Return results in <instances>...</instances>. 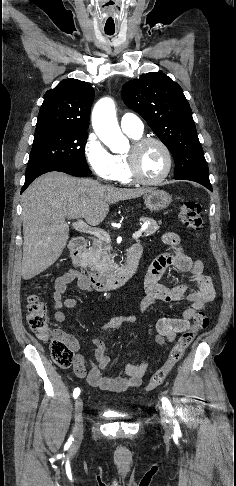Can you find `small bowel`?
<instances>
[{
  "label": "small bowel",
  "instance_id": "small-bowel-1",
  "mask_svg": "<svg viewBox=\"0 0 236 486\" xmlns=\"http://www.w3.org/2000/svg\"><path fill=\"white\" fill-rule=\"evenodd\" d=\"M161 241L174 250L157 257L146 275L145 290L146 295L139 304V311L144 314L153 305H165L171 302L187 300L190 306L186 308L180 317H165L156 324L157 334L154 338V347L164 342H172L176 336L190 328L191 320L196 314L202 311L206 304L211 302L216 295L212 280L204 273V265L200 260H194L187 255L181 245L180 236L175 232H166L162 235ZM176 268L188 274L194 282V288L185 280L171 287H166L159 283L162 275L169 268ZM77 281L82 290H89V285L85 279L74 269H70L55 280L54 299V318L57 322L63 323L67 320L64 309L74 308L77 300L74 298H64L68 286ZM138 321L136 315H121L108 320L102 325L103 330L115 329L123 324H133ZM76 352L74 359V372L80 377H86L89 385L104 391L124 392L129 388L141 385L144 375L149 370V364H128L124 368V373L108 377L103 373L109 364L110 358L106 354V347L102 340L95 338L94 360L91 362V369L86 373L84 357L79 352L77 339L62 330H57Z\"/></svg>",
  "mask_w": 236,
  "mask_h": 486
}]
</instances>
